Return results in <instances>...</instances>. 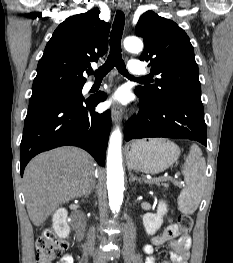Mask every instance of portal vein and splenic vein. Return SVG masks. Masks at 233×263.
<instances>
[{
  "label": "portal vein and splenic vein",
  "instance_id": "18ae733b",
  "mask_svg": "<svg viewBox=\"0 0 233 263\" xmlns=\"http://www.w3.org/2000/svg\"><path fill=\"white\" fill-rule=\"evenodd\" d=\"M167 178L166 177H156V178H152L151 180H154V181H164L166 180Z\"/></svg>",
  "mask_w": 233,
  "mask_h": 263
}]
</instances>
